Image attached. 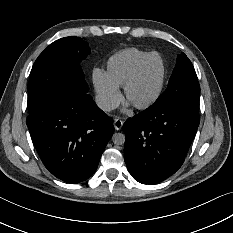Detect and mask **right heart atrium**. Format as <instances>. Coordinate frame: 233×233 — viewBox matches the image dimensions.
Returning <instances> with one entry per match:
<instances>
[{
	"label": "right heart atrium",
	"mask_w": 233,
	"mask_h": 233,
	"mask_svg": "<svg viewBox=\"0 0 233 233\" xmlns=\"http://www.w3.org/2000/svg\"><path fill=\"white\" fill-rule=\"evenodd\" d=\"M95 99L99 108L109 113L116 109L122 100L120 89L114 85L99 68H94L92 72Z\"/></svg>",
	"instance_id": "right-heart-atrium-1"
}]
</instances>
